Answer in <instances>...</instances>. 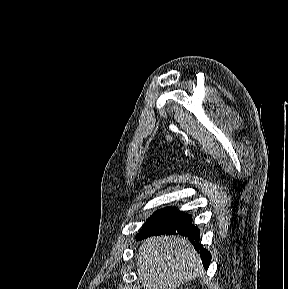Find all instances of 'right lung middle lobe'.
<instances>
[{
	"mask_svg": "<svg viewBox=\"0 0 288 289\" xmlns=\"http://www.w3.org/2000/svg\"><path fill=\"white\" fill-rule=\"evenodd\" d=\"M172 208L170 207H167V208H164V209H160L158 210L157 212H155L152 217L147 220V222L145 223L144 227L145 228L147 225H149L150 223H152L154 220H156L157 218H159L160 216H162L163 214L167 213L168 211H170Z\"/></svg>",
	"mask_w": 288,
	"mask_h": 289,
	"instance_id": "obj_1",
	"label": "right lung middle lobe"
}]
</instances>
